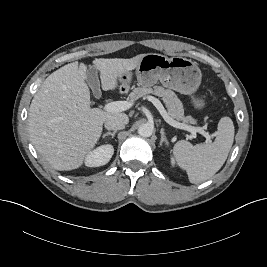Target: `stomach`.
Segmentation results:
<instances>
[{
    "mask_svg": "<svg viewBox=\"0 0 267 267\" xmlns=\"http://www.w3.org/2000/svg\"><path fill=\"white\" fill-rule=\"evenodd\" d=\"M135 74L142 87H151L159 81L163 86L185 95H192L200 86L202 78L198 65L191 59L180 56L169 58L156 53L143 54ZM131 79V72L119 76L121 90H129ZM192 103L196 109L205 105L203 99L194 97Z\"/></svg>",
    "mask_w": 267,
    "mask_h": 267,
    "instance_id": "0dacf381",
    "label": "stomach"
}]
</instances>
